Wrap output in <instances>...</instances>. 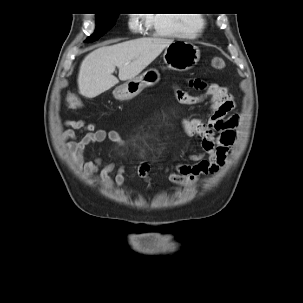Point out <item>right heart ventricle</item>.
<instances>
[{
  "label": "right heart ventricle",
  "mask_w": 303,
  "mask_h": 303,
  "mask_svg": "<svg viewBox=\"0 0 303 303\" xmlns=\"http://www.w3.org/2000/svg\"><path fill=\"white\" fill-rule=\"evenodd\" d=\"M146 20L160 35H196L203 24L192 14H149Z\"/></svg>",
  "instance_id": "e07e8e85"
}]
</instances>
